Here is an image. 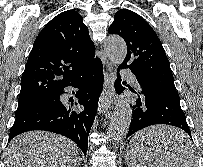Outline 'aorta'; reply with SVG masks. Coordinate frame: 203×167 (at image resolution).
<instances>
[{
	"instance_id": "1",
	"label": "aorta",
	"mask_w": 203,
	"mask_h": 167,
	"mask_svg": "<svg viewBox=\"0 0 203 167\" xmlns=\"http://www.w3.org/2000/svg\"><path fill=\"white\" fill-rule=\"evenodd\" d=\"M104 50L108 58L116 65H120L127 54L125 41L119 36H109L104 42ZM132 119V108L126 100H121L115 107L108 128V138L120 141L129 130Z\"/></svg>"
}]
</instances>
